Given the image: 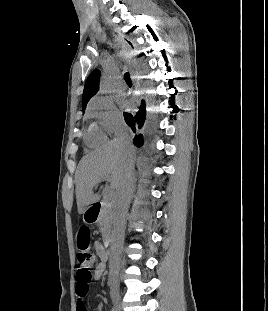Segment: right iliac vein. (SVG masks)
<instances>
[{
	"label": "right iliac vein",
	"mask_w": 268,
	"mask_h": 311,
	"mask_svg": "<svg viewBox=\"0 0 268 311\" xmlns=\"http://www.w3.org/2000/svg\"><path fill=\"white\" fill-rule=\"evenodd\" d=\"M111 298H112L115 311H121L120 294L117 289L111 290Z\"/></svg>",
	"instance_id": "right-iliac-vein-1"
}]
</instances>
